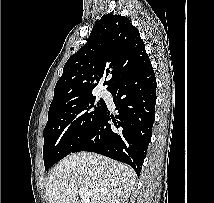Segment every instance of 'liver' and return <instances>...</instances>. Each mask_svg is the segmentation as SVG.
Returning <instances> with one entry per match:
<instances>
[{
  "instance_id": "6515ba94",
  "label": "liver",
  "mask_w": 214,
  "mask_h": 203,
  "mask_svg": "<svg viewBox=\"0 0 214 203\" xmlns=\"http://www.w3.org/2000/svg\"><path fill=\"white\" fill-rule=\"evenodd\" d=\"M136 182L134 170L105 156L80 152L64 158L46 185L49 203H124ZM80 188L90 191L79 201Z\"/></svg>"
}]
</instances>
